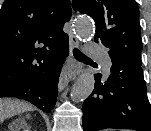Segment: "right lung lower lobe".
Returning a JSON list of instances; mask_svg holds the SVG:
<instances>
[{
	"label": "right lung lower lobe",
	"mask_w": 151,
	"mask_h": 131,
	"mask_svg": "<svg viewBox=\"0 0 151 131\" xmlns=\"http://www.w3.org/2000/svg\"><path fill=\"white\" fill-rule=\"evenodd\" d=\"M68 53L69 40L55 45L50 50L43 67L5 90L0 97L24 99L44 112H49L57 101L60 70Z\"/></svg>",
	"instance_id": "98d812e1"
}]
</instances>
